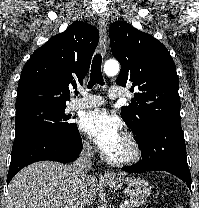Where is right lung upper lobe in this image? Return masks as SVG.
I'll return each mask as SVG.
<instances>
[{
	"label": "right lung upper lobe",
	"mask_w": 199,
	"mask_h": 208,
	"mask_svg": "<svg viewBox=\"0 0 199 208\" xmlns=\"http://www.w3.org/2000/svg\"><path fill=\"white\" fill-rule=\"evenodd\" d=\"M98 41L96 27L76 21L34 51L21 72L16 110L66 107L70 90L77 89L88 72Z\"/></svg>",
	"instance_id": "obj_1"
}]
</instances>
